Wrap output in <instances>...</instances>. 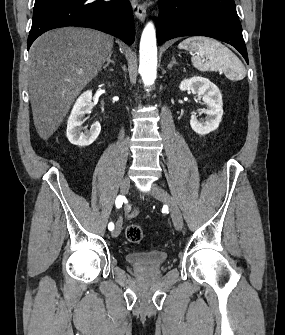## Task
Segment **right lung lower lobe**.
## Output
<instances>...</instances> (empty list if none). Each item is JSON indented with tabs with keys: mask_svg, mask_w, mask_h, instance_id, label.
<instances>
[{
	"mask_svg": "<svg viewBox=\"0 0 285 335\" xmlns=\"http://www.w3.org/2000/svg\"><path fill=\"white\" fill-rule=\"evenodd\" d=\"M66 26L94 28L127 44L134 42L133 12L128 0H35L27 48L44 32Z\"/></svg>",
	"mask_w": 285,
	"mask_h": 335,
	"instance_id": "right-lung-lower-lobe-1",
	"label": "right lung lower lobe"
}]
</instances>
